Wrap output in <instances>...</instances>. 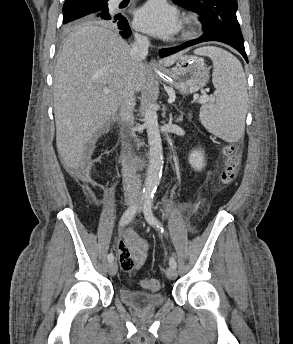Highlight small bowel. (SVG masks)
Listing matches in <instances>:
<instances>
[{
  "mask_svg": "<svg viewBox=\"0 0 293 344\" xmlns=\"http://www.w3.org/2000/svg\"><path fill=\"white\" fill-rule=\"evenodd\" d=\"M116 247L121 269L131 272L142 265L150 245L132 229H125L122 237L117 239Z\"/></svg>",
  "mask_w": 293,
  "mask_h": 344,
  "instance_id": "1",
  "label": "small bowel"
}]
</instances>
